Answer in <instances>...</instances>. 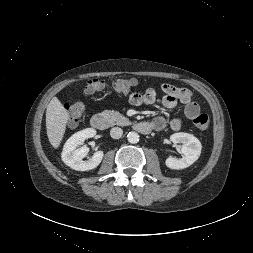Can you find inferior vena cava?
Returning a JSON list of instances; mask_svg holds the SVG:
<instances>
[{
	"label": "inferior vena cava",
	"mask_w": 253,
	"mask_h": 253,
	"mask_svg": "<svg viewBox=\"0 0 253 253\" xmlns=\"http://www.w3.org/2000/svg\"><path fill=\"white\" fill-rule=\"evenodd\" d=\"M123 134V130L119 127H114L110 130V135L113 139H119Z\"/></svg>",
	"instance_id": "1"
}]
</instances>
